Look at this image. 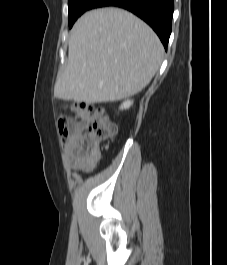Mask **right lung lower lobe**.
I'll list each match as a JSON object with an SVG mask.
<instances>
[{"mask_svg":"<svg viewBox=\"0 0 227 265\" xmlns=\"http://www.w3.org/2000/svg\"><path fill=\"white\" fill-rule=\"evenodd\" d=\"M115 6L131 11L159 36L165 49L171 34L174 0H96L93 8Z\"/></svg>","mask_w":227,"mask_h":265,"instance_id":"98d812e1","label":"right lung lower lobe"}]
</instances>
